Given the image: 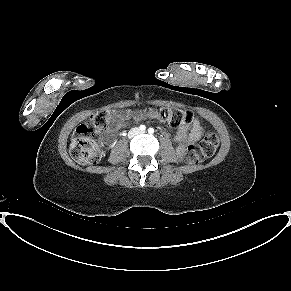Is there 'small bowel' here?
Here are the masks:
<instances>
[{
  "instance_id": "c3829d8e",
  "label": "small bowel",
  "mask_w": 291,
  "mask_h": 291,
  "mask_svg": "<svg viewBox=\"0 0 291 291\" xmlns=\"http://www.w3.org/2000/svg\"><path fill=\"white\" fill-rule=\"evenodd\" d=\"M116 117L117 122L114 128L108 129L104 135L105 141L108 143L114 140L116 130L124 128L131 119L139 120L141 115L130 110H124L119 111ZM202 134L203 127L198 118H193L190 125L181 126L176 134L178 152L182 153L188 144L198 141L201 138Z\"/></svg>"
}]
</instances>
